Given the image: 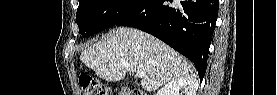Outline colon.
I'll list each match as a JSON object with an SVG mask.
<instances>
[{
    "label": "colon",
    "instance_id": "1",
    "mask_svg": "<svg viewBox=\"0 0 277 95\" xmlns=\"http://www.w3.org/2000/svg\"><path fill=\"white\" fill-rule=\"evenodd\" d=\"M81 88L86 95H110L109 87L89 76H82L80 78ZM122 95H145L143 91L137 89H123L120 93Z\"/></svg>",
    "mask_w": 277,
    "mask_h": 95
}]
</instances>
